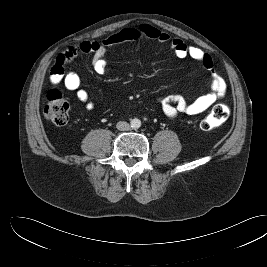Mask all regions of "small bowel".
<instances>
[{
  "instance_id": "small-bowel-1",
  "label": "small bowel",
  "mask_w": 267,
  "mask_h": 267,
  "mask_svg": "<svg viewBox=\"0 0 267 267\" xmlns=\"http://www.w3.org/2000/svg\"><path fill=\"white\" fill-rule=\"evenodd\" d=\"M144 38L169 45L176 57H190L202 63L211 74L209 91L191 102H188L179 94H170L160 98L159 101L166 117L175 119L179 114H200L226 94V82L214 70L212 58L208 53L197 46L188 45L178 38H173L168 33L148 24L123 28L104 39L84 41L80 44L69 46L56 58L55 64L50 70V81L53 84L63 83L65 88L74 91L77 99L90 110L93 108V103L89 99L87 91L80 88V77L74 71H66V66L78 55L85 54L90 57L91 66L98 75H107L111 72V68L107 63L106 50L111 46L126 41H136Z\"/></svg>"
}]
</instances>
